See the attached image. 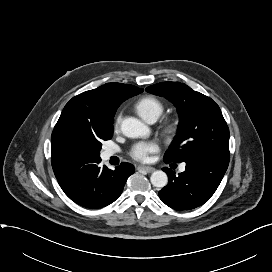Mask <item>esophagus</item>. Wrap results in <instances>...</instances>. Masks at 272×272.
<instances>
[{"label": "esophagus", "instance_id": "esophagus-1", "mask_svg": "<svg viewBox=\"0 0 272 272\" xmlns=\"http://www.w3.org/2000/svg\"><path fill=\"white\" fill-rule=\"evenodd\" d=\"M138 170H143V171H145L147 173H152L153 171H155V168L150 167V166L141 165V166L138 167Z\"/></svg>", "mask_w": 272, "mask_h": 272}]
</instances>
